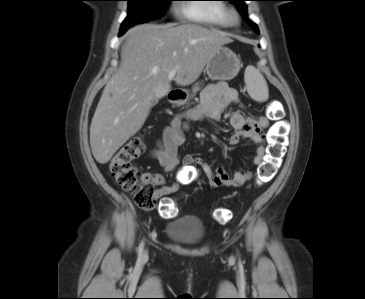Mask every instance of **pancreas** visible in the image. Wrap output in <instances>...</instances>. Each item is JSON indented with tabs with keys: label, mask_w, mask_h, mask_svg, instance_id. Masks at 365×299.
<instances>
[{
	"label": "pancreas",
	"mask_w": 365,
	"mask_h": 299,
	"mask_svg": "<svg viewBox=\"0 0 365 299\" xmlns=\"http://www.w3.org/2000/svg\"><path fill=\"white\" fill-rule=\"evenodd\" d=\"M200 90V87L198 84L194 85L193 87V95H195V93H197Z\"/></svg>",
	"instance_id": "1"
}]
</instances>
